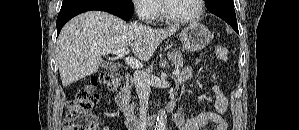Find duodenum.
Segmentation results:
<instances>
[{
  "label": "duodenum",
  "instance_id": "410a0bca",
  "mask_svg": "<svg viewBox=\"0 0 299 130\" xmlns=\"http://www.w3.org/2000/svg\"><path fill=\"white\" fill-rule=\"evenodd\" d=\"M133 78L131 74L126 73L125 79L122 88L117 93L115 98V103L120 110V112L125 117V122L128 130H141L144 124L151 126L153 121L148 119L145 123L142 122L134 113V109L130 103V93L132 89ZM175 105L171 103L168 108L167 112L172 114L175 117Z\"/></svg>",
  "mask_w": 299,
  "mask_h": 130
}]
</instances>
